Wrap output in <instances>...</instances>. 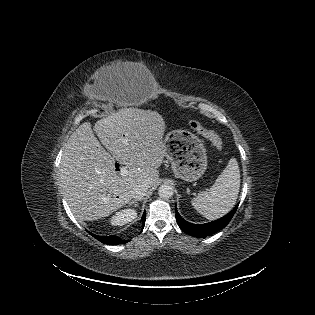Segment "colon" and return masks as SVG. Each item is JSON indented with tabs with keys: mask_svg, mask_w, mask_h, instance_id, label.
<instances>
[{
	"mask_svg": "<svg viewBox=\"0 0 315 315\" xmlns=\"http://www.w3.org/2000/svg\"><path fill=\"white\" fill-rule=\"evenodd\" d=\"M190 124L198 133L208 139L218 151L224 152L223 141L217 132L206 128L202 123L196 120H192Z\"/></svg>",
	"mask_w": 315,
	"mask_h": 315,
	"instance_id": "1",
	"label": "colon"
}]
</instances>
